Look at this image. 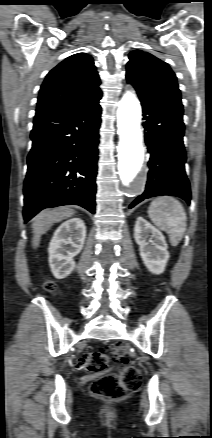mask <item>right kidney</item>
<instances>
[{
  "mask_svg": "<svg viewBox=\"0 0 212 438\" xmlns=\"http://www.w3.org/2000/svg\"><path fill=\"white\" fill-rule=\"evenodd\" d=\"M86 226L82 219L72 218L55 231L48 248L49 265L57 279L67 277L75 268L74 257L83 248Z\"/></svg>",
  "mask_w": 212,
  "mask_h": 438,
  "instance_id": "ca27d5eb",
  "label": "right kidney"
}]
</instances>
